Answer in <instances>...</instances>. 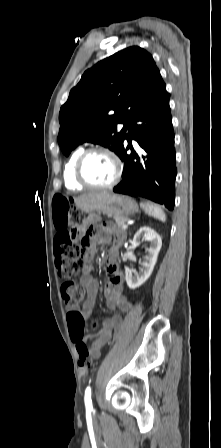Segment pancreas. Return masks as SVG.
I'll list each match as a JSON object with an SVG mask.
<instances>
[{
    "label": "pancreas",
    "instance_id": "pancreas-1",
    "mask_svg": "<svg viewBox=\"0 0 221 448\" xmlns=\"http://www.w3.org/2000/svg\"><path fill=\"white\" fill-rule=\"evenodd\" d=\"M128 219V217L114 216V220L119 228H123Z\"/></svg>",
    "mask_w": 221,
    "mask_h": 448
}]
</instances>
